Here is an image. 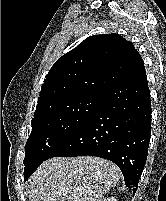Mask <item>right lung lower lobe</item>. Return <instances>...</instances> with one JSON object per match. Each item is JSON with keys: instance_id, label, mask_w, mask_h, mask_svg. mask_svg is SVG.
Wrapping results in <instances>:
<instances>
[{"instance_id": "1", "label": "right lung lower lobe", "mask_w": 166, "mask_h": 201, "mask_svg": "<svg viewBox=\"0 0 166 201\" xmlns=\"http://www.w3.org/2000/svg\"><path fill=\"white\" fill-rule=\"evenodd\" d=\"M151 101L141 60L102 95L99 105L48 156H98L118 165L136 192L151 135Z\"/></svg>"}]
</instances>
